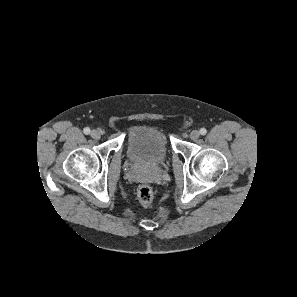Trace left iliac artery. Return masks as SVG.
<instances>
[{"instance_id":"1","label":"left iliac artery","mask_w":297,"mask_h":297,"mask_svg":"<svg viewBox=\"0 0 297 297\" xmlns=\"http://www.w3.org/2000/svg\"><path fill=\"white\" fill-rule=\"evenodd\" d=\"M207 133V130L205 128L200 129V134L205 135Z\"/></svg>"}]
</instances>
